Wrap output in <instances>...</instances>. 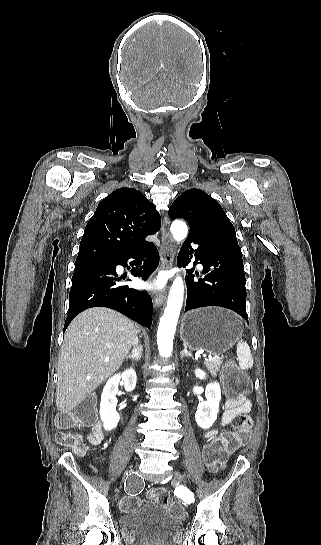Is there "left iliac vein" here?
Segmentation results:
<instances>
[{
	"instance_id": "obj_1",
	"label": "left iliac vein",
	"mask_w": 321,
	"mask_h": 545,
	"mask_svg": "<svg viewBox=\"0 0 321 545\" xmlns=\"http://www.w3.org/2000/svg\"><path fill=\"white\" fill-rule=\"evenodd\" d=\"M173 481L178 483V484L186 485L185 477L181 473H179L178 471L174 472Z\"/></svg>"
}]
</instances>
